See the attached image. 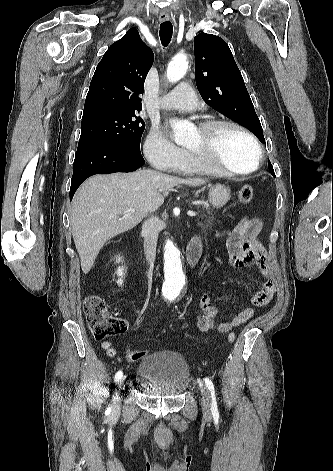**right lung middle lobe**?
<instances>
[{"label":"right lung middle lobe","mask_w":333,"mask_h":471,"mask_svg":"<svg viewBox=\"0 0 333 471\" xmlns=\"http://www.w3.org/2000/svg\"><path fill=\"white\" fill-rule=\"evenodd\" d=\"M136 111H109L82 118L79 144L107 142L140 152L145 124Z\"/></svg>","instance_id":"1"}]
</instances>
